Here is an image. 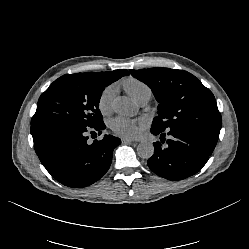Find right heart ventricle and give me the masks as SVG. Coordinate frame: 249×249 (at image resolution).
I'll return each instance as SVG.
<instances>
[{
	"mask_svg": "<svg viewBox=\"0 0 249 249\" xmlns=\"http://www.w3.org/2000/svg\"><path fill=\"white\" fill-rule=\"evenodd\" d=\"M122 87L138 103L141 100H149L152 96V90L148 84L136 77H127L122 80Z\"/></svg>",
	"mask_w": 249,
	"mask_h": 249,
	"instance_id": "e07e8e85",
	"label": "right heart ventricle"
}]
</instances>
